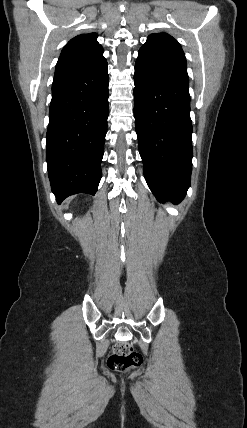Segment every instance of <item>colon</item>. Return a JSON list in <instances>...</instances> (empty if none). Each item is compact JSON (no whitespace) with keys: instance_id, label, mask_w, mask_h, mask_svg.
I'll use <instances>...</instances> for the list:
<instances>
[{"instance_id":"colon-1","label":"colon","mask_w":247,"mask_h":428,"mask_svg":"<svg viewBox=\"0 0 247 428\" xmlns=\"http://www.w3.org/2000/svg\"><path fill=\"white\" fill-rule=\"evenodd\" d=\"M142 356L127 342L118 343L107 359V366L119 372H126L140 366Z\"/></svg>"}]
</instances>
